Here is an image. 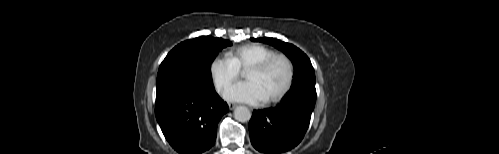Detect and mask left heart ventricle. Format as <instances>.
I'll return each mask as SVG.
<instances>
[{
	"mask_svg": "<svg viewBox=\"0 0 499 154\" xmlns=\"http://www.w3.org/2000/svg\"><path fill=\"white\" fill-rule=\"evenodd\" d=\"M245 77L248 81L255 82L267 99L277 94L284 86L287 67L282 60H276L264 71H247Z\"/></svg>",
	"mask_w": 499,
	"mask_h": 154,
	"instance_id": "1",
	"label": "left heart ventricle"
}]
</instances>
